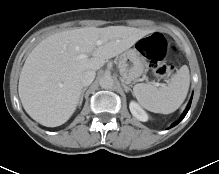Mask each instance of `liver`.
Masks as SVG:
<instances>
[{
	"label": "liver",
	"instance_id": "obj_1",
	"mask_svg": "<svg viewBox=\"0 0 219 174\" xmlns=\"http://www.w3.org/2000/svg\"><path fill=\"white\" fill-rule=\"evenodd\" d=\"M150 33L126 26L84 27L55 33L28 55L19 78V97L28 115L47 127L64 124L74 113L81 75L100 69ZM101 40L103 43L97 45ZM92 55L80 58V55Z\"/></svg>",
	"mask_w": 219,
	"mask_h": 174
}]
</instances>
